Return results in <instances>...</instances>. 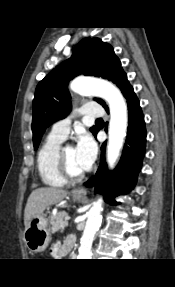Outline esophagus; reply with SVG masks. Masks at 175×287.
I'll list each match as a JSON object with an SVG mask.
<instances>
[{"label":"esophagus","instance_id":"1","mask_svg":"<svg viewBox=\"0 0 175 287\" xmlns=\"http://www.w3.org/2000/svg\"><path fill=\"white\" fill-rule=\"evenodd\" d=\"M73 193L78 195H86V190L83 187H78L73 190Z\"/></svg>","mask_w":175,"mask_h":287}]
</instances>
